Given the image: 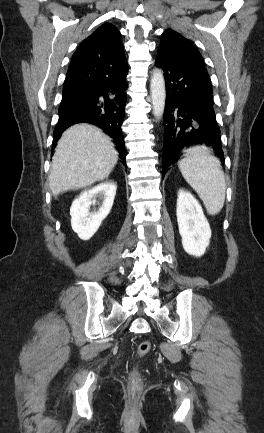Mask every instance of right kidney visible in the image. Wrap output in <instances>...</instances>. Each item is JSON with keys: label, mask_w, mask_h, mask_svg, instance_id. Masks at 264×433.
Listing matches in <instances>:
<instances>
[{"label": "right kidney", "mask_w": 264, "mask_h": 433, "mask_svg": "<svg viewBox=\"0 0 264 433\" xmlns=\"http://www.w3.org/2000/svg\"><path fill=\"white\" fill-rule=\"evenodd\" d=\"M117 186L113 182L101 183L89 190L81 192L70 208L71 226L78 237L89 240L98 230L101 222L107 217L112 208ZM96 197L103 199L98 211L90 213V206Z\"/></svg>", "instance_id": "obj_1"}]
</instances>
